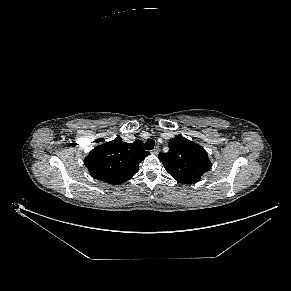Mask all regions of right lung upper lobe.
I'll use <instances>...</instances> for the list:
<instances>
[{"label": "right lung upper lobe", "mask_w": 291, "mask_h": 291, "mask_svg": "<svg viewBox=\"0 0 291 291\" xmlns=\"http://www.w3.org/2000/svg\"><path fill=\"white\" fill-rule=\"evenodd\" d=\"M149 154L141 140L126 143L116 137L90 151L84 164L95 179L117 185L131 179L138 172L139 163Z\"/></svg>", "instance_id": "1"}]
</instances>
